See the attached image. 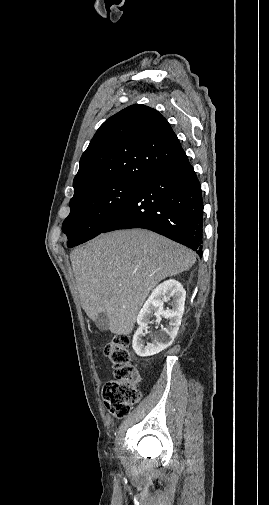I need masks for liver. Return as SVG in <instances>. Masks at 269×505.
Wrapping results in <instances>:
<instances>
[{
	"instance_id": "obj_1",
	"label": "liver",
	"mask_w": 269,
	"mask_h": 505,
	"mask_svg": "<svg viewBox=\"0 0 269 505\" xmlns=\"http://www.w3.org/2000/svg\"><path fill=\"white\" fill-rule=\"evenodd\" d=\"M70 260L87 316L95 321L105 313L111 333L129 335L150 291L192 267L196 256L154 232L132 229L101 234L72 251Z\"/></svg>"
}]
</instances>
